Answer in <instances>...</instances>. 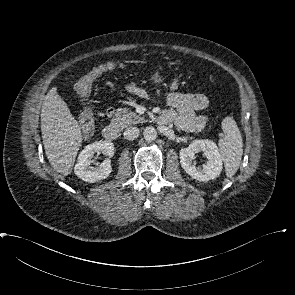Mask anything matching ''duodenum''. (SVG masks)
<instances>
[{"label":"duodenum","instance_id":"410a0bca","mask_svg":"<svg viewBox=\"0 0 295 295\" xmlns=\"http://www.w3.org/2000/svg\"><path fill=\"white\" fill-rule=\"evenodd\" d=\"M103 136L105 137V139L110 141L117 140L120 136L118 125L115 123L106 125L103 128Z\"/></svg>","mask_w":295,"mask_h":295}]
</instances>
